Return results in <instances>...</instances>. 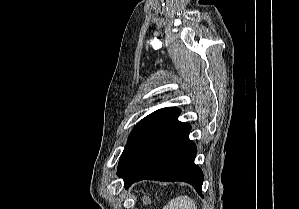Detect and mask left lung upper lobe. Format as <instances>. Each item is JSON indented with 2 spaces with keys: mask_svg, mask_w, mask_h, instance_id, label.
I'll use <instances>...</instances> for the list:
<instances>
[{
  "mask_svg": "<svg viewBox=\"0 0 299 209\" xmlns=\"http://www.w3.org/2000/svg\"><path fill=\"white\" fill-rule=\"evenodd\" d=\"M150 115H151V114H150ZM150 115H148V116H150ZM148 116H147V117H148ZM147 117H145L144 119H146ZM144 119H142V120L139 122V124H140ZM139 124H138V125H139ZM138 125H137V126H138ZM137 126H136V127H137ZM136 127H135V128H136ZM135 128H134V129H135ZM134 129H133V130H134ZM133 130H132V131H133ZM131 133H132V132H131Z\"/></svg>",
  "mask_w": 299,
  "mask_h": 209,
  "instance_id": "left-lung-upper-lobe-1",
  "label": "left lung upper lobe"
}]
</instances>
